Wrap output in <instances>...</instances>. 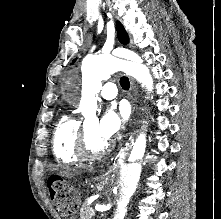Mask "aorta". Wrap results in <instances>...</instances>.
I'll return each mask as SVG.
<instances>
[{"label": "aorta", "mask_w": 221, "mask_h": 219, "mask_svg": "<svg viewBox=\"0 0 221 219\" xmlns=\"http://www.w3.org/2000/svg\"><path fill=\"white\" fill-rule=\"evenodd\" d=\"M120 59L141 62L137 54L127 49L115 50L113 55L99 54L83 60L82 71L91 81V88L80 102V109L85 117L95 116V95L101 89V81L109 79L117 71ZM144 154L145 145L140 143L128 157L122 156L116 165L113 184V200L116 204L114 219H124L126 216L127 206L140 180Z\"/></svg>", "instance_id": "obj_1"}]
</instances>
